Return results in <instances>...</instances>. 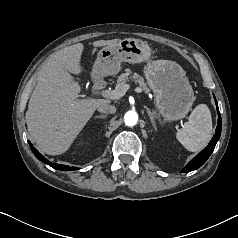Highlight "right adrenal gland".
I'll return each mask as SVG.
<instances>
[{
	"label": "right adrenal gland",
	"instance_id": "right-adrenal-gland-1",
	"mask_svg": "<svg viewBox=\"0 0 238 238\" xmlns=\"http://www.w3.org/2000/svg\"><path fill=\"white\" fill-rule=\"evenodd\" d=\"M107 117V115H97L94 118H101V119H105Z\"/></svg>",
	"mask_w": 238,
	"mask_h": 238
}]
</instances>
